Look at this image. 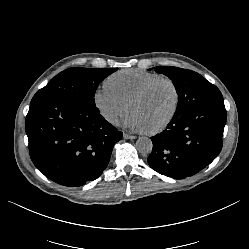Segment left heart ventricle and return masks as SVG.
I'll return each mask as SVG.
<instances>
[{
	"label": "left heart ventricle",
	"mask_w": 249,
	"mask_h": 249,
	"mask_svg": "<svg viewBox=\"0 0 249 249\" xmlns=\"http://www.w3.org/2000/svg\"><path fill=\"white\" fill-rule=\"evenodd\" d=\"M175 102L172 87L162 82L153 87L146 95L132 102L130 110L136 111L147 130L157 127L171 113Z\"/></svg>",
	"instance_id": "b2bd125f"
}]
</instances>
